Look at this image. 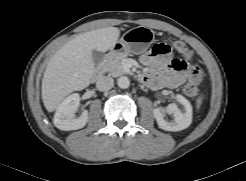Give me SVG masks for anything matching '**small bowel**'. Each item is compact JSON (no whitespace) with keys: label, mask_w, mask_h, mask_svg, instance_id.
Returning <instances> with one entry per match:
<instances>
[{"label":"small bowel","mask_w":246,"mask_h":181,"mask_svg":"<svg viewBox=\"0 0 246 181\" xmlns=\"http://www.w3.org/2000/svg\"><path fill=\"white\" fill-rule=\"evenodd\" d=\"M140 61L145 67L142 80L153 89L176 88L190 77L189 60L172 57L169 50L162 54L152 50L142 55Z\"/></svg>","instance_id":"obj_1"}]
</instances>
